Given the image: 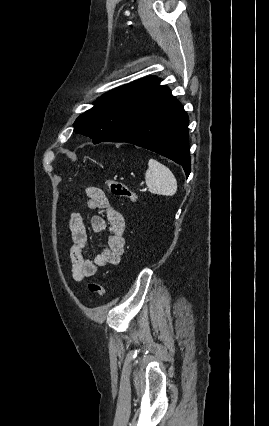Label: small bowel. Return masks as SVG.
<instances>
[{"label":"small bowel","instance_id":"c3829d8e","mask_svg":"<svg viewBox=\"0 0 269 426\" xmlns=\"http://www.w3.org/2000/svg\"><path fill=\"white\" fill-rule=\"evenodd\" d=\"M85 192L87 209L98 212L90 219L91 229L98 235L108 231V240L106 246L94 259L85 256L83 252L88 246L85 223L78 213L70 215L68 228L72 238L71 272L73 280L77 283L93 277L98 268L118 265L123 257L126 243L124 219L111 206L106 193L99 187H88Z\"/></svg>","mask_w":269,"mask_h":426}]
</instances>
